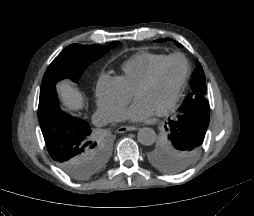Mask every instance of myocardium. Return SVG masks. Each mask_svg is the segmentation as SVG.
Returning a JSON list of instances; mask_svg holds the SVG:
<instances>
[{"instance_id":"obj_1","label":"myocardium","mask_w":254,"mask_h":216,"mask_svg":"<svg viewBox=\"0 0 254 216\" xmlns=\"http://www.w3.org/2000/svg\"><path fill=\"white\" fill-rule=\"evenodd\" d=\"M171 59H180L183 61L185 69H184V74L183 77L180 81V84L174 94V96L172 97L171 101L161 110L156 112V115L158 116H163L167 113H169L177 104L183 89L185 87V84L188 80L189 77V73H190V63L188 61V59L181 53H174V54H170L165 56L162 60H160L151 70V72L149 73V75L146 77V79L136 88V90L134 91V97L136 98L138 92H140L141 90L149 87L150 85H152L154 83V81L156 80L162 66L169 60Z\"/></svg>"}]
</instances>
